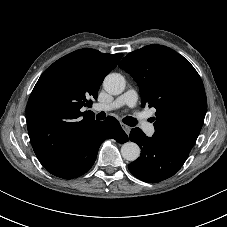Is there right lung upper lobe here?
Segmentation results:
<instances>
[{"label": "right lung upper lobe", "mask_w": 227, "mask_h": 227, "mask_svg": "<svg viewBox=\"0 0 227 227\" xmlns=\"http://www.w3.org/2000/svg\"><path fill=\"white\" fill-rule=\"evenodd\" d=\"M122 56L80 49L58 59L40 76L27 103L26 121L43 167L57 161L98 122L94 114L80 109L97 98L103 79Z\"/></svg>", "instance_id": "obj_1"}]
</instances>
